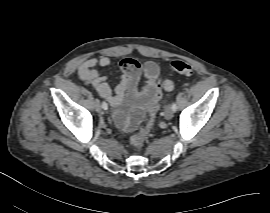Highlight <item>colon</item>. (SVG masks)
<instances>
[{
	"label": "colon",
	"mask_w": 270,
	"mask_h": 213,
	"mask_svg": "<svg viewBox=\"0 0 270 213\" xmlns=\"http://www.w3.org/2000/svg\"><path fill=\"white\" fill-rule=\"evenodd\" d=\"M171 68L173 71L184 74L191 75L193 72V67L188 62L183 60H174L171 62ZM162 87L165 90L171 91L174 88V82L169 78H164L162 81ZM159 110V105L156 104L152 108V112L149 115L147 123L133 132L129 138L130 144L134 148H140L143 146L147 134L152 130L155 124L156 115Z\"/></svg>",
	"instance_id": "colon-1"
}]
</instances>
